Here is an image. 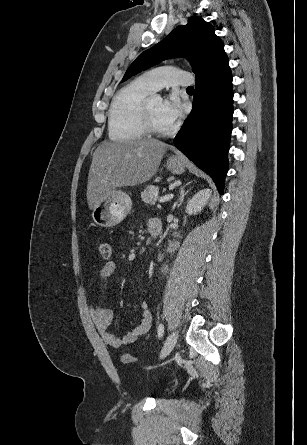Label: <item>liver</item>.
<instances>
[{"label":"liver","instance_id":"liver-1","mask_svg":"<svg viewBox=\"0 0 307 445\" xmlns=\"http://www.w3.org/2000/svg\"><path fill=\"white\" fill-rule=\"evenodd\" d=\"M169 144L156 138L109 142L97 146L88 174L87 202L93 210L120 186H135L155 174Z\"/></svg>","mask_w":307,"mask_h":445}]
</instances>
